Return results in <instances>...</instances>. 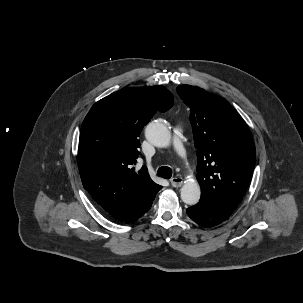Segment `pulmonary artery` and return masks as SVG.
<instances>
[{"label": "pulmonary artery", "mask_w": 303, "mask_h": 303, "mask_svg": "<svg viewBox=\"0 0 303 303\" xmlns=\"http://www.w3.org/2000/svg\"><path fill=\"white\" fill-rule=\"evenodd\" d=\"M173 146L175 151L180 155H185V149L183 146V131L181 127L174 128V135H173Z\"/></svg>", "instance_id": "obj_1"}]
</instances>
